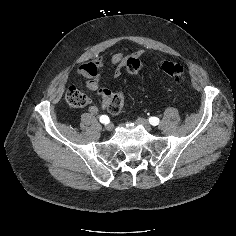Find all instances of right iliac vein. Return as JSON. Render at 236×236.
<instances>
[{
	"label": "right iliac vein",
	"mask_w": 236,
	"mask_h": 236,
	"mask_svg": "<svg viewBox=\"0 0 236 236\" xmlns=\"http://www.w3.org/2000/svg\"><path fill=\"white\" fill-rule=\"evenodd\" d=\"M105 130L108 132H111L113 130V125L111 123H108L105 125Z\"/></svg>",
	"instance_id": "right-iliac-vein-1"
}]
</instances>
